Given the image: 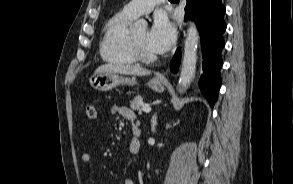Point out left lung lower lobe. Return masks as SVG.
Returning <instances> with one entry per match:
<instances>
[{
    "label": "left lung lower lobe",
    "instance_id": "obj_1",
    "mask_svg": "<svg viewBox=\"0 0 293 184\" xmlns=\"http://www.w3.org/2000/svg\"><path fill=\"white\" fill-rule=\"evenodd\" d=\"M225 7L221 0H187L185 18L193 19L201 37L203 52V74L199 86L204 97L213 107L221 86L220 68L222 67L221 51L224 47L223 33ZM181 59L180 49L176 51L171 70L177 72Z\"/></svg>",
    "mask_w": 293,
    "mask_h": 184
}]
</instances>
